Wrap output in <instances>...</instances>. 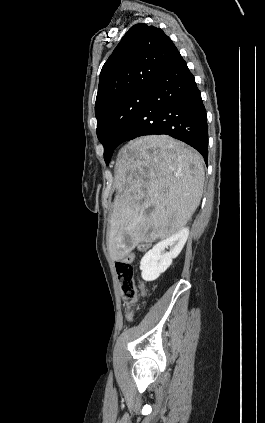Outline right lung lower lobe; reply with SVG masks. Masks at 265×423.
Masks as SVG:
<instances>
[{"instance_id":"98d812e1","label":"right lung lower lobe","mask_w":265,"mask_h":423,"mask_svg":"<svg viewBox=\"0 0 265 423\" xmlns=\"http://www.w3.org/2000/svg\"><path fill=\"white\" fill-rule=\"evenodd\" d=\"M166 134L181 140L208 159L206 110L194 76L178 53L152 86L149 97L118 139Z\"/></svg>"}]
</instances>
